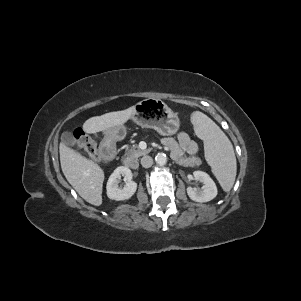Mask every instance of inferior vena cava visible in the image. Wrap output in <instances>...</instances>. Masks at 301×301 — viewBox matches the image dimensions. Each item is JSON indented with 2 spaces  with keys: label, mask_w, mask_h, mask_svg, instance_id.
Listing matches in <instances>:
<instances>
[{
  "label": "inferior vena cava",
  "mask_w": 301,
  "mask_h": 301,
  "mask_svg": "<svg viewBox=\"0 0 301 301\" xmlns=\"http://www.w3.org/2000/svg\"><path fill=\"white\" fill-rule=\"evenodd\" d=\"M153 164V159L152 157L150 156H144L141 158V165L144 167V168H149L151 167Z\"/></svg>",
  "instance_id": "1"
}]
</instances>
